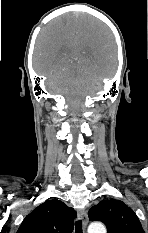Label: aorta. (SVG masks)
I'll return each mask as SVG.
<instances>
[{
    "mask_svg": "<svg viewBox=\"0 0 148 233\" xmlns=\"http://www.w3.org/2000/svg\"><path fill=\"white\" fill-rule=\"evenodd\" d=\"M88 233H106V228L101 222H93L88 227Z\"/></svg>",
    "mask_w": 148,
    "mask_h": 233,
    "instance_id": "obj_1",
    "label": "aorta"
}]
</instances>
